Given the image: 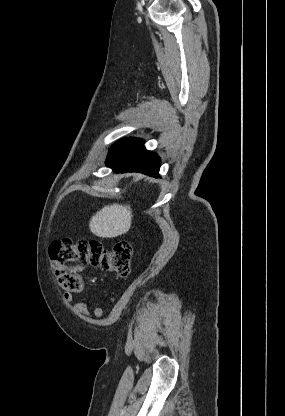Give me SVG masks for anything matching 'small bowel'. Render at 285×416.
I'll return each mask as SVG.
<instances>
[{
	"label": "small bowel",
	"mask_w": 285,
	"mask_h": 416,
	"mask_svg": "<svg viewBox=\"0 0 285 416\" xmlns=\"http://www.w3.org/2000/svg\"><path fill=\"white\" fill-rule=\"evenodd\" d=\"M72 298L73 296L71 293L64 294V301L66 303H70L72 301ZM73 310L75 313L81 314L87 318H101L103 316V309L99 301H96L94 304L93 314H91L87 304L83 302H78L74 304Z\"/></svg>",
	"instance_id": "c3829d8e"
}]
</instances>
